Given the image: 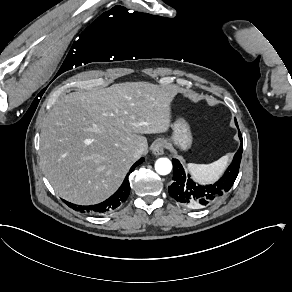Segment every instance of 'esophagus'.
<instances>
[{"label":"esophagus","mask_w":292,"mask_h":292,"mask_svg":"<svg viewBox=\"0 0 292 292\" xmlns=\"http://www.w3.org/2000/svg\"><path fill=\"white\" fill-rule=\"evenodd\" d=\"M165 150V142L163 139H159L155 142V144L152 147V153L154 155H162Z\"/></svg>","instance_id":"34e87169"}]
</instances>
